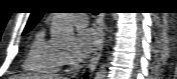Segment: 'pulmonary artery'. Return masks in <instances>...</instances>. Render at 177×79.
I'll list each match as a JSON object with an SVG mask.
<instances>
[{
  "instance_id": "1",
  "label": "pulmonary artery",
  "mask_w": 177,
  "mask_h": 79,
  "mask_svg": "<svg viewBox=\"0 0 177 79\" xmlns=\"http://www.w3.org/2000/svg\"><path fill=\"white\" fill-rule=\"evenodd\" d=\"M70 21L72 24L86 26L88 23V17L85 14L71 15Z\"/></svg>"
}]
</instances>
